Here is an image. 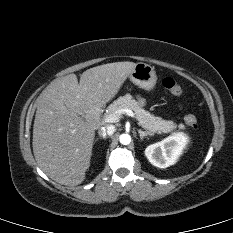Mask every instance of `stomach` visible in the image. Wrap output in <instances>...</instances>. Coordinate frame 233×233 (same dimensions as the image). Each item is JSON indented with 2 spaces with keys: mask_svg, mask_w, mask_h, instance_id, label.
Returning <instances> with one entry per match:
<instances>
[{
  "mask_svg": "<svg viewBox=\"0 0 233 233\" xmlns=\"http://www.w3.org/2000/svg\"><path fill=\"white\" fill-rule=\"evenodd\" d=\"M130 80L140 88L146 91H152L155 88L157 75L152 66L139 62L129 75Z\"/></svg>",
  "mask_w": 233,
  "mask_h": 233,
  "instance_id": "obj_1",
  "label": "stomach"
}]
</instances>
